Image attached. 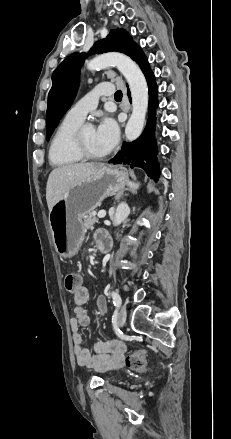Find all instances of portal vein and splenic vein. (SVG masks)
I'll return each instance as SVG.
<instances>
[{
	"label": "portal vein and splenic vein",
	"instance_id": "1",
	"mask_svg": "<svg viewBox=\"0 0 231 439\" xmlns=\"http://www.w3.org/2000/svg\"><path fill=\"white\" fill-rule=\"evenodd\" d=\"M99 218H104L106 216V211L105 210H101L98 215Z\"/></svg>",
	"mask_w": 231,
	"mask_h": 439
}]
</instances>
